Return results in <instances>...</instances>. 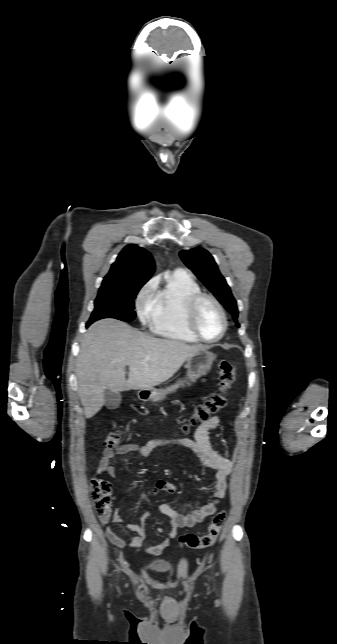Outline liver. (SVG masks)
I'll return each instance as SVG.
<instances>
[{
	"label": "liver",
	"instance_id": "obj_1",
	"mask_svg": "<svg viewBox=\"0 0 337 644\" xmlns=\"http://www.w3.org/2000/svg\"><path fill=\"white\" fill-rule=\"evenodd\" d=\"M202 348L205 347L154 338L115 319L95 322L81 341L76 364L85 417L91 418L100 411L105 390H150L170 379Z\"/></svg>",
	"mask_w": 337,
	"mask_h": 644
}]
</instances>
